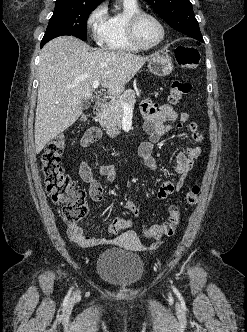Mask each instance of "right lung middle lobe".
<instances>
[{
	"label": "right lung middle lobe",
	"instance_id": "right-lung-middle-lobe-1",
	"mask_svg": "<svg viewBox=\"0 0 247 332\" xmlns=\"http://www.w3.org/2000/svg\"><path fill=\"white\" fill-rule=\"evenodd\" d=\"M101 2L92 0H57L46 31L61 30L85 41L90 13Z\"/></svg>",
	"mask_w": 247,
	"mask_h": 332
}]
</instances>
